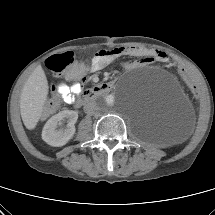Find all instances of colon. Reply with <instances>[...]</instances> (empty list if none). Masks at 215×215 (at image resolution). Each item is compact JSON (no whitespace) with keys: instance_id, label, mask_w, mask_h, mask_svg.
<instances>
[{"instance_id":"1","label":"colon","mask_w":215,"mask_h":215,"mask_svg":"<svg viewBox=\"0 0 215 215\" xmlns=\"http://www.w3.org/2000/svg\"><path fill=\"white\" fill-rule=\"evenodd\" d=\"M169 56L174 59L177 71L183 80V83L187 86L186 91L191 95L198 93V86L194 77L184 68V65L180 63L177 54H173L172 51L168 52ZM47 68L55 74H62V79L66 83H71L80 77L87 70V65L83 61H76L73 52H65L50 56L45 62ZM60 105L59 98L54 95L47 103L45 107V113L49 114L54 112Z\"/></svg>"}]
</instances>
